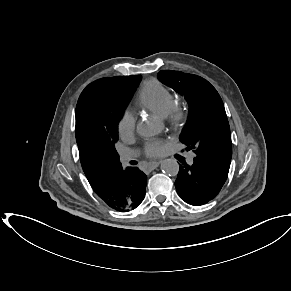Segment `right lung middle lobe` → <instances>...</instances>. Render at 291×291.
I'll list each match as a JSON object with an SVG mask.
<instances>
[{
    "instance_id": "1",
    "label": "right lung middle lobe",
    "mask_w": 291,
    "mask_h": 291,
    "mask_svg": "<svg viewBox=\"0 0 291 291\" xmlns=\"http://www.w3.org/2000/svg\"><path fill=\"white\" fill-rule=\"evenodd\" d=\"M141 79L140 75L102 78L89 84L82 93L96 113V138L105 151L119 156L115 149L118 123Z\"/></svg>"
}]
</instances>
